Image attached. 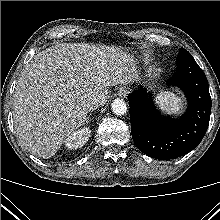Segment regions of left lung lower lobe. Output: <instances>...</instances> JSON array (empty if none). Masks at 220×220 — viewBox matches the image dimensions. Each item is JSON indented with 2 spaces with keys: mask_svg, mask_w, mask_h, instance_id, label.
I'll list each match as a JSON object with an SVG mask.
<instances>
[{
  "mask_svg": "<svg viewBox=\"0 0 220 220\" xmlns=\"http://www.w3.org/2000/svg\"><path fill=\"white\" fill-rule=\"evenodd\" d=\"M171 84L180 87L188 100V109L180 119L161 117L146 90L128 96L133 141L141 152L155 159H174L192 151L202 141L209 125L208 81L184 48L180 49Z\"/></svg>",
  "mask_w": 220,
  "mask_h": 220,
  "instance_id": "left-lung-lower-lobe-1",
  "label": "left lung lower lobe"
}]
</instances>
